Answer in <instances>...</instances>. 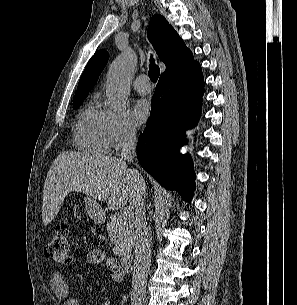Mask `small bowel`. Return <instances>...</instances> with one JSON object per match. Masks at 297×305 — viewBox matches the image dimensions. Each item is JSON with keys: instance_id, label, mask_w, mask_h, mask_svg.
<instances>
[{"instance_id": "1", "label": "small bowel", "mask_w": 297, "mask_h": 305, "mask_svg": "<svg viewBox=\"0 0 297 305\" xmlns=\"http://www.w3.org/2000/svg\"><path fill=\"white\" fill-rule=\"evenodd\" d=\"M87 262L90 265L105 264L113 280L120 282L123 279V271L118 262L101 249L89 251ZM50 285L55 295L63 299V305H80L79 301L70 295L69 283L63 273H53Z\"/></svg>"}]
</instances>
